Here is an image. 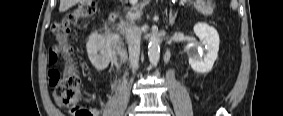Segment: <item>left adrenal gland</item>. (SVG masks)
I'll return each mask as SVG.
<instances>
[{"label": "left adrenal gland", "mask_w": 283, "mask_h": 116, "mask_svg": "<svg viewBox=\"0 0 283 116\" xmlns=\"http://www.w3.org/2000/svg\"><path fill=\"white\" fill-rule=\"evenodd\" d=\"M177 17V12L173 15L172 10L170 9V13H169V24L171 26H173V24L175 23V19Z\"/></svg>", "instance_id": "obj_1"}]
</instances>
